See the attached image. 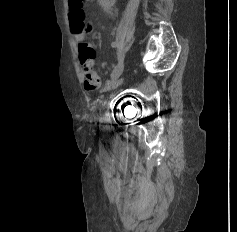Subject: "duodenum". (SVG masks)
Segmentation results:
<instances>
[{"label":"duodenum","instance_id":"obj_1","mask_svg":"<svg viewBox=\"0 0 237 232\" xmlns=\"http://www.w3.org/2000/svg\"><path fill=\"white\" fill-rule=\"evenodd\" d=\"M100 1L104 7H110L115 3L116 0H100Z\"/></svg>","mask_w":237,"mask_h":232}]
</instances>
